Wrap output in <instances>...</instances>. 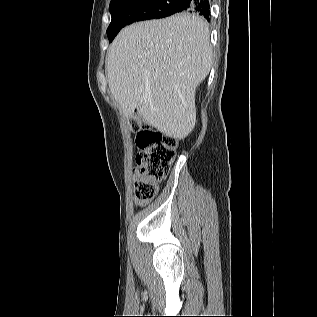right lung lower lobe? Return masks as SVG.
Masks as SVG:
<instances>
[{
    "mask_svg": "<svg viewBox=\"0 0 317 317\" xmlns=\"http://www.w3.org/2000/svg\"><path fill=\"white\" fill-rule=\"evenodd\" d=\"M177 13L191 12L203 16L209 21V2L208 0H176Z\"/></svg>",
    "mask_w": 317,
    "mask_h": 317,
    "instance_id": "right-lung-lower-lobe-1",
    "label": "right lung lower lobe"
}]
</instances>
